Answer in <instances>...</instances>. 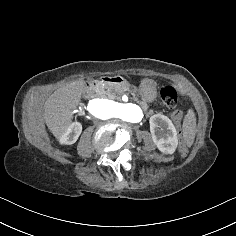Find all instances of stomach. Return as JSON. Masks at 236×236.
<instances>
[{
  "label": "stomach",
  "instance_id": "0dacf381",
  "mask_svg": "<svg viewBox=\"0 0 236 236\" xmlns=\"http://www.w3.org/2000/svg\"><path fill=\"white\" fill-rule=\"evenodd\" d=\"M126 90H131L136 94L140 95V97L145 101H152L158 95V88L155 85V82L151 79H144L141 81L140 87L126 85Z\"/></svg>",
  "mask_w": 236,
  "mask_h": 236
}]
</instances>
